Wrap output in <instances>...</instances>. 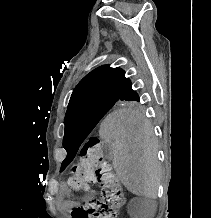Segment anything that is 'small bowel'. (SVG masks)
Returning a JSON list of instances; mask_svg holds the SVG:
<instances>
[{
  "instance_id": "obj_1",
  "label": "small bowel",
  "mask_w": 211,
  "mask_h": 218,
  "mask_svg": "<svg viewBox=\"0 0 211 218\" xmlns=\"http://www.w3.org/2000/svg\"><path fill=\"white\" fill-rule=\"evenodd\" d=\"M57 202L64 209H70L75 206V202L72 200V194L66 185L61 187L60 194L57 197Z\"/></svg>"
}]
</instances>
